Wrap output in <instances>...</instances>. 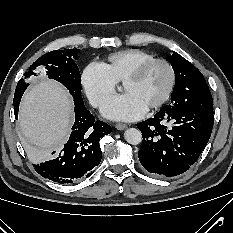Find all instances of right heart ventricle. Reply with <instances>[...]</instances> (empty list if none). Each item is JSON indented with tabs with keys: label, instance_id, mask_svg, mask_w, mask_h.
<instances>
[{
	"label": "right heart ventricle",
	"instance_id": "right-heart-ventricle-1",
	"mask_svg": "<svg viewBox=\"0 0 233 233\" xmlns=\"http://www.w3.org/2000/svg\"><path fill=\"white\" fill-rule=\"evenodd\" d=\"M154 59V56L141 49H126L114 52L104 65L117 82H122L137 66Z\"/></svg>",
	"mask_w": 233,
	"mask_h": 233
}]
</instances>
